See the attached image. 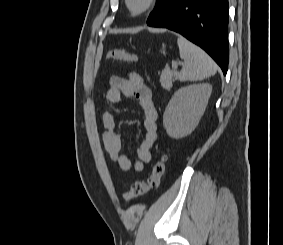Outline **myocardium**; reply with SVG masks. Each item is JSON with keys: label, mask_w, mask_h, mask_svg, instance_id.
I'll use <instances>...</instances> for the list:
<instances>
[{"label": "myocardium", "mask_w": 283, "mask_h": 245, "mask_svg": "<svg viewBox=\"0 0 283 245\" xmlns=\"http://www.w3.org/2000/svg\"><path fill=\"white\" fill-rule=\"evenodd\" d=\"M124 3H125V7H126L127 11L129 12V14L131 16L137 17V16L144 15L147 12H149L150 10H152L156 5L157 0H145L144 4L137 10H135L132 7V4H131L132 0H124Z\"/></svg>", "instance_id": "myocardium-1"}]
</instances>
